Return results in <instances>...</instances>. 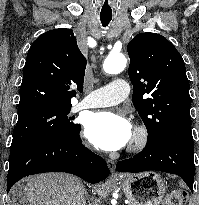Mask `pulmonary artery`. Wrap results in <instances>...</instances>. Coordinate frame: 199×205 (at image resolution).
I'll return each instance as SVG.
<instances>
[{"label": "pulmonary artery", "instance_id": "1", "mask_svg": "<svg viewBox=\"0 0 199 205\" xmlns=\"http://www.w3.org/2000/svg\"><path fill=\"white\" fill-rule=\"evenodd\" d=\"M130 88L127 80L117 78L108 85L87 94L77 107L97 108L119 104L128 97Z\"/></svg>", "mask_w": 199, "mask_h": 205}]
</instances>
